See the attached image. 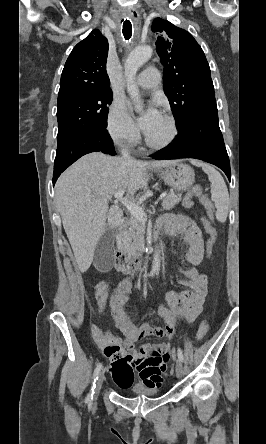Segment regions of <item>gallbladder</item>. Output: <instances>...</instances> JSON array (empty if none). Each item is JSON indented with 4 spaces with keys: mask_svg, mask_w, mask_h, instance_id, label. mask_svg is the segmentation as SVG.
<instances>
[{
    "mask_svg": "<svg viewBox=\"0 0 266 444\" xmlns=\"http://www.w3.org/2000/svg\"><path fill=\"white\" fill-rule=\"evenodd\" d=\"M113 238L114 233L112 229H107L101 236L93 257V263L99 270H110L114 263V250H113Z\"/></svg>",
    "mask_w": 266,
    "mask_h": 444,
    "instance_id": "bac80fb5",
    "label": "gallbladder"
}]
</instances>
